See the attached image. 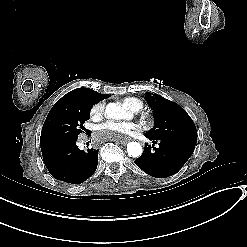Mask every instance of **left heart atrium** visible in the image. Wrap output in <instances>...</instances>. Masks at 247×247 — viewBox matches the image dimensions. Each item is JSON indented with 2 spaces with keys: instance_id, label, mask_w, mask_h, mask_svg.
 <instances>
[{
  "instance_id": "obj_1",
  "label": "left heart atrium",
  "mask_w": 247,
  "mask_h": 247,
  "mask_svg": "<svg viewBox=\"0 0 247 247\" xmlns=\"http://www.w3.org/2000/svg\"><path fill=\"white\" fill-rule=\"evenodd\" d=\"M137 125L132 122H106L102 124L93 136L96 145L106 142H122L123 136L132 134Z\"/></svg>"
}]
</instances>
